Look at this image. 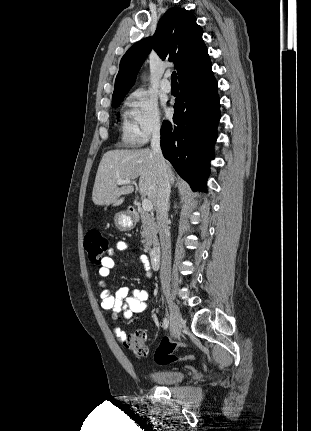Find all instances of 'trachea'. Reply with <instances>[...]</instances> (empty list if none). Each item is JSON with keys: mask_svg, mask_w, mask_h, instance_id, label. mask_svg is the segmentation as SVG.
<instances>
[{"mask_svg": "<svg viewBox=\"0 0 311 431\" xmlns=\"http://www.w3.org/2000/svg\"><path fill=\"white\" fill-rule=\"evenodd\" d=\"M171 83L177 84V75L176 72H173L171 75Z\"/></svg>", "mask_w": 311, "mask_h": 431, "instance_id": "trachea-1", "label": "trachea"}]
</instances>
